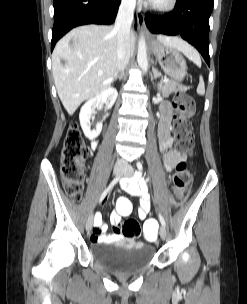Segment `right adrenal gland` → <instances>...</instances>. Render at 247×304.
<instances>
[{
  "instance_id": "1",
  "label": "right adrenal gland",
  "mask_w": 247,
  "mask_h": 304,
  "mask_svg": "<svg viewBox=\"0 0 247 304\" xmlns=\"http://www.w3.org/2000/svg\"><path fill=\"white\" fill-rule=\"evenodd\" d=\"M123 78V73H120L118 76L115 77L114 81H116L117 79H119V81H121Z\"/></svg>"
}]
</instances>
